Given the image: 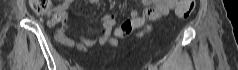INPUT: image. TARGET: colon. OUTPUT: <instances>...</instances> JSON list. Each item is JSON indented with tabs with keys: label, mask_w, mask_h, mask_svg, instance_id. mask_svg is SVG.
Listing matches in <instances>:
<instances>
[{
	"label": "colon",
	"mask_w": 238,
	"mask_h": 70,
	"mask_svg": "<svg viewBox=\"0 0 238 70\" xmlns=\"http://www.w3.org/2000/svg\"><path fill=\"white\" fill-rule=\"evenodd\" d=\"M29 5L31 10L37 15H53V22L61 21L60 17L52 9L50 0H30ZM176 14L180 18L188 17L194 9L195 0H180L177 3ZM149 29V28H148Z\"/></svg>",
	"instance_id": "obj_1"
}]
</instances>
